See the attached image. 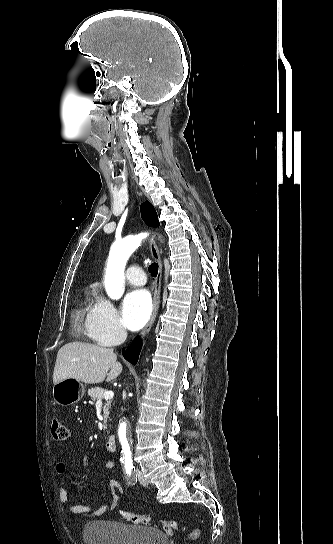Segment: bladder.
<instances>
[{
	"instance_id": "1",
	"label": "bladder",
	"mask_w": 333,
	"mask_h": 544,
	"mask_svg": "<svg viewBox=\"0 0 333 544\" xmlns=\"http://www.w3.org/2000/svg\"><path fill=\"white\" fill-rule=\"evenodd\" d=\"M82 538L85 544H169L167 535L159 529L110 520L87 522Z\"/></svg>"
}]
</instances>
